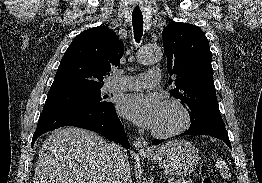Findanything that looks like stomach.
I'll list each match as a JSON object with an SVG mask.
<instances>
[{
  "mask_svg": "<svg viewBox=\"0 0 262 183\" xmlns=\"http://www.w3.org/2000/svg\"><path fill=\"white\" fill-rule=\"evenodd\" d=\"M142 155L151 159L166 172L177 176L193 172L199 160L197 149L184 140L169 141L152 152H142Z\"/></svg>",
  "mask_w": 262,
  "mask_h": 183,
  "instance_id": "0dacf381",
  "label": "stomach"
}]
</instances>
